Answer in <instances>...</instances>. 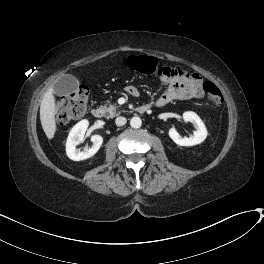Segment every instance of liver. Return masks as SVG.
<instances>
[{"label": "liver", "instance_id": "1", "mask_svg": "<svg viewBox=\"0 0 264 264\" xmlns=\"http://www.w3.org/2000/svg\"><path fill=\"white\" fill-rule=\"evenodd\" d=\"M57 114L54 87L51 86L44 94L40 105V120L48 139H53L57 130L55 115Z\"/></svg>", "mask_w": 264, "mask_h": 264}]
</instances>
